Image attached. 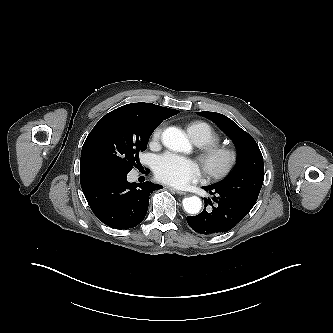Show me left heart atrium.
<instances>
[{
  "instance_id": "left-heart-atrium-1",
  "label": "left heart atrium",
  "mask_w": 333,
  "mask_h": 333,
  "mask_svg": "<svg viewBox=\"0 0 333 333\" xmlns=\"http://www.w3.org/2000/svg\"><path fill=\"white\" fill-rule=\"evenodd\" d=\"M154 173L161 182L183 188L199 178L200 168L192 159L167 153L156 158Z\"/></svg>"
}]
</instances>
